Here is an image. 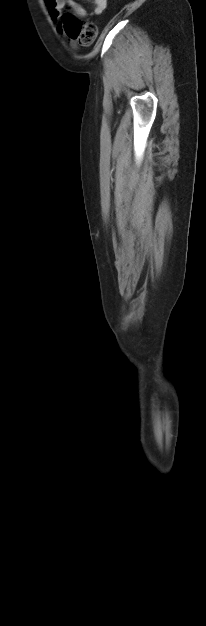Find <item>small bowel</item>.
<instances>
[{
    "label": "small bowel",
    "mask_w": 206,
    "mask_h": 626,
    "mask_svg": "<svg viewBox=\"0 0 206 626\" xmlns=\"http://www.w3.org/2000/svg\"><path fill=\"white\" fill-rule=\"evenodd\" d=\"M93 5V12L96 15L101 14L106 6L107 0H87ZM45 3L49 9V14L53 20H59V29L60 31L65 30V23L62 16V9L64 6H68L71 8L74 15L79 17H87V12L85 9L78 4L75 0H45ZM72 45L75 47L76 42L75 39L68 35Z\"/></svg>",
    "instance_id": "small-bowel-1"
}]
</instances>
